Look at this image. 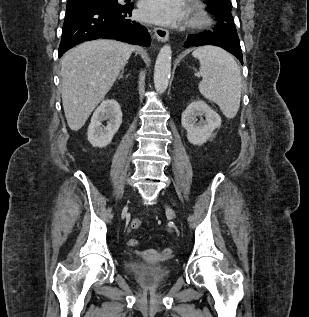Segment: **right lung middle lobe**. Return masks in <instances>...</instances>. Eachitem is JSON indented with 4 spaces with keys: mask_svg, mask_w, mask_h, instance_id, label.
Masks as SVG:
<instances>
[{
    "mask_svg": "<svg viewBox=\"0 0 309 317\" xmlns=\"http://www.w3.org/2000/svg\"><path fill=\"white\" fill-rule=\"evenodd\" d=\"M82 1L104 4L109 6H121L120 4H118L117 0H82Z\"/></svg>",
    "mask_w": 309,
    "mask_h": 317,
    "instance_id": "obj_1",
    "label": "right lung middle lobe"
}]
</instances>
